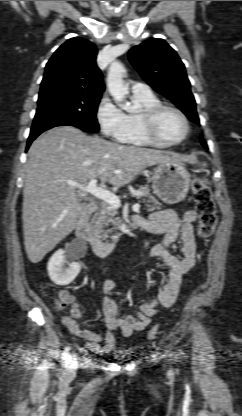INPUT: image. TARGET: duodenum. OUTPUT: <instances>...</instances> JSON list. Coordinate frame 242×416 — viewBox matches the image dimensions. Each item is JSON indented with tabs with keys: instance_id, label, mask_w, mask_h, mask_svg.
I'll use <instances>...</instances> for the list:
<instances>
[{
	"instance_id": "410a0bca",
	"label": "duodenum",
	"mask_w": 242,
	"mask_h": 416,
	"mask_svg": "<svg viewBox=\"0 0 242 416\" xmlns=\"http://www.w3.org/2000/svg\"><path fill=\"white\" fill-rule=\"evenodd\" d=\"M96 209V205L91 203L86 209L85 213L78 220L76 225L77 236L88 243L97 256L105 257L109 255L115 248L116 243L121 234L135 226H141L140 219L138 218H129L127 221L123 222V229L120 234L114 236L109 240H102L96 236L91 228L89 222V215Z\"/></svg>"
}]
</instances>
